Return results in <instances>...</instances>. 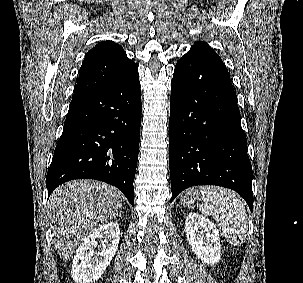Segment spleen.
<instances>
[{
    "label": "spleen",
    "instance_id": "3e777b00",
    "mask_svg": "<svg viewBox=\"0 0 303 283\" xmlns=\"http://www.w3.org/2000/svg\"><path fill=\"white\" fill-rule=\"evenodd\" d=\"M198 194L202 200L199 210L206 216H212L225 239L232 245H241L247 235V215L243 202L238 196L218 186H203Z\"/></svg>",
    "mask_w": 303,
    "mask_h": 283
}]
</instances>
